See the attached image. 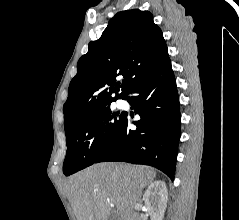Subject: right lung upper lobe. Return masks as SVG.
Listing matches in <instances>:
<instances>
[{
	"mask_svg": "<svg viewBox=\"0 0 239 220\" xmlns=\"http://www.w3.org/2000/svg\"><path fill=\"white\" fill-rule=\"evenodd\" d=\"M168 60L162 31L150 12H118L77 63L63 106L65 130L85 114L125 99L140 80ZM119 75L125 78L121 85L116 83ZM120 88L122 93L118 94Z\"/></svg>",
	"mask_w": 239,
	"mask_h": 220,
	"instance_id": "cb5924a9",
	"label": "right lung upper lobe"
}]
</instances>
